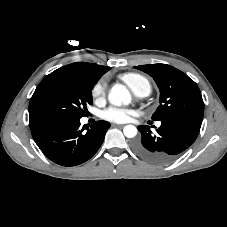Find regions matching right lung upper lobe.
<instances>
[{
	"mask_svg": "<svg viewBox=\"0 0 227 227\" xmlns=\"http://www.w3.org/2000/svg\"><path fill=\"white\" fill-rule=\"evenodd\" d=\"M109 69L107 66L94 63L76 62L63 66L57 69V71L85 77L96 82Z\"/></svg>",
	"mask_w": 227,
	"mask_h": 227,
	"instance_id": "1",
	"label": "right lung upper lobe"
}]
</instances>
